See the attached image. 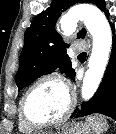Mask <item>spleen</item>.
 <instances>
[{"label": "spleen", "mask_w": 116, "mask_h": 134, "mask_svg": "<svg viewBox=\"0 0 116 134\" xmlns=\"http://www.w3.org/2000/svg\"><path fill=\"white\" fill-rule=\"evenodd\" d=\"M87 122L96 134H102L108 129L107 121L100 116H89Z\"/></svg>", "instance_id": "3e777b00"}]
</instances>
